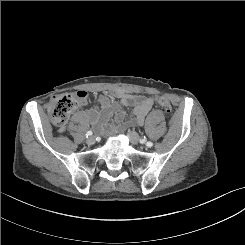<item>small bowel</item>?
I'll use <instances>...</instances> for the list:
<instances>
[{
  "instance_id": "obj_1",
  "label": "small bowel",
  "mask_w": 245,
  "mask_h": 245,
  "mask_svg": "<svg viewBox=\"0 0 245 245\" xmlns=\"http://www.w3.org/2000/svg\"><path fill=\"white\" fill-rule=\"evenodd\" d=\"M112 98L116 101H113ZM99 103V111L90 110L88 112V117L96 131H105L111 115H114L116 129L122 131L129 126L142 125L153 108L154 99L151 96L134 95L121 89H114L109 93L101 94ZM129 107L133 108V115L125 121V110Z\"/></svg>"
}]
</instances>
